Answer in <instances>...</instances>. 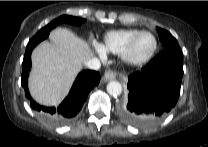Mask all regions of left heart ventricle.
Masks as SVG:
<instances>
[{"instance_id": "left-heart-ventricle-1", "label": "left heart ventricle", "mask_w": 208, "mask_h": 147, "mask_svg": "<svg viewBox=\"0 0 208 147\" xmlns=\"http://www.w3.org/2000/svg\"><path fill=\"white\" fill-rule=\"evenodd\" d=\"M153 47L154 39L151 35L145 34L136 42L132 51V56L136 59H142L152 51Z\"/></svg>"}]
</instances>
